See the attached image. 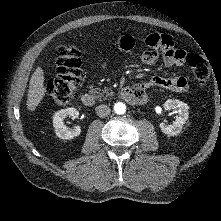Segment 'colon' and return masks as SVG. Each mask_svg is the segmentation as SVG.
<instances>
[{
  "label": "colon",
  "instance_id": "1",
  "mask_svg": "<svg viewBox=\"0 0 221 221\" xmlns=\"http://www.w3.org/2000/svg\"><path fill=\"white\" fill-rule=\"evenodd\" d=\"M56 76L46 84L48 95L60 105H65L73 97L81 77V54L71 44L56 48ZM186 62L192 69L197 84L205 86L209 79V70L200 54L186 55Z\"/></svg>",
  "mask_w": 221,
  "mask_h": 221
}]
</instances>
